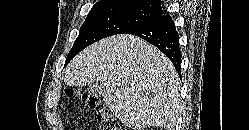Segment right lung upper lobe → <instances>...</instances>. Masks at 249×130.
<instances>
[{
  "mask_svg": "<svg viewBox=\"0 0 249 130\" xmlns=\"http://www.w3.org/2000/svg\"><path fill=\"white\" fill-rule=\"evenodd\" d=\"M101 4H118L124 6L138 7L147 11H152L162 16L163 11L160 0H101L95 5Z\"/></svg>",
  "mask_w": 249,
  "mask_h": 130,
  "instance_id": "right-lung-upper-lobe-1",
  "label": "right lung upper lobe"
}]
</instances>
